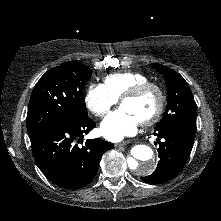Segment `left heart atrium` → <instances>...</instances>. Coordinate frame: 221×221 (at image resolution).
I'll return each mask as SVG.
<instances>
[{
  "label": "left heart atrium",
  "instance_id": "39dd6f15",
  "mask_svg": "<svg viewBox=\"0 0 221 221\" xmlns=\"http://www.w3.org/2000/svg\"><path fill=\"white\" fill-rule=\"evenodd\" d=\"M140 121L128 110L121 107L110 113L101 123V134L110 141H121L135 134Z\"/></svg>",
  "mask_w": 221,
  "mask_h": 221
}]
</instances>
